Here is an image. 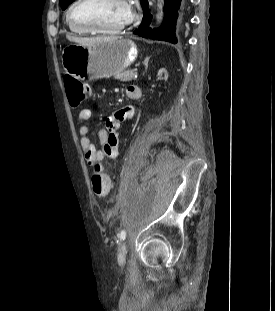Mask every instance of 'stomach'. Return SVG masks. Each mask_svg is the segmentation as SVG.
I'll use <instances>...</instances> for the list:
<instances>
[{"label": "stomach", "mask_w": 275, "mask_h": 311, "mask_svg": "<svg viewBox=\"0 0 275 311\" xmlns=\"http://www.w3.org/2000/svg\"><path fill=\"white\" fill-rule=\"evenodd\" d=\"M138 50L130 39H118L82 45L72 43L62 51V65L67 74L80 80L109 78L121 73L137 58Z\"/></svg>", "instance_id": "0dacf381"}]
</instances>
